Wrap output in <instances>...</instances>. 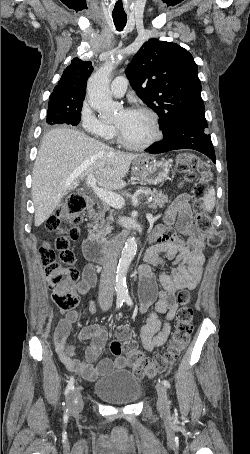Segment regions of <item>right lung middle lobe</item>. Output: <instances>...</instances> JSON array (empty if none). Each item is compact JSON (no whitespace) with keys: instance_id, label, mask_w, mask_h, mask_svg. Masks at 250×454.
<instances>
[{"instance_id":"1","label":"right lung middle lobe","mask_w":250,"mask_h":454,"mask_svg":"<svg viewBox=\"0 0 250 454\" xmlns=\"http://www.w3.org/2000/svg\"><path fill=\"white\" fill-rule=\"evenodd\" d=\"M84 98L70 100L59 97L50 98L46 122L53 124L77 125L81 119V109Z\"/></svg>"}]
</instances>
